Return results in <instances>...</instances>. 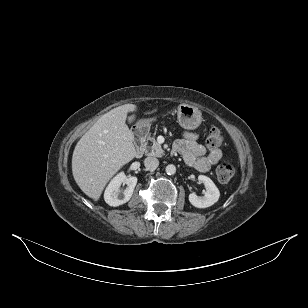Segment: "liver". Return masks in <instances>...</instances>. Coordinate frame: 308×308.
Wrapping results in <instances>:
<instances>
[{"instance_id": "6515ba94", "label": "liver", "mask_w": 308, "mask_h": 308, "mask_svg": "<svg viewBox=\"0 0 308 308\" xmlns=\"http://www.w3.org/2000/svg\"><path fill=\"white\" fill-rule=\"evenodd\" d=\"M137 110L134 104L118 106L82 136L72 156V173L80 189L98 201L108 181L136 155L134 135L126 119ZM135 116L129 118L133 121Z\"/></svg>"}]
</instances>
